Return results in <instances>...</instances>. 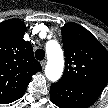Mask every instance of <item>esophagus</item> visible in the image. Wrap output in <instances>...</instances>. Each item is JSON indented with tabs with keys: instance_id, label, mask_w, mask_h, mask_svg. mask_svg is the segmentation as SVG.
<instances>
[{
	"instance_id": "esophagus-1",
	"label": "esophagus",
	"mask_w": 108,
	"mask_h": 108,
	"mask_svg": "<svg viewBox=\"0 0 108 108\" xmlns=\"http://www.w3.org/2000/svg\"><path fill=\"white\" fill-rule=\"evenodd\" d=\"M41 66L44 68L46 66V60L41 61Z\"/></svg>"
}]
</instances>
